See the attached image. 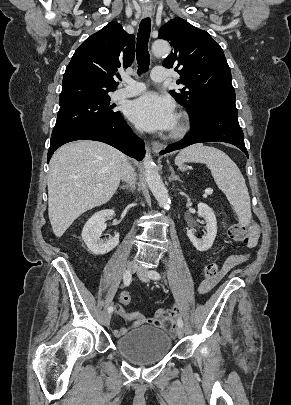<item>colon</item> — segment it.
Instances as JSON below:
<instances>
[{"mask_svg": "<svg viewBox=\"0 0 291 405\" xmlns=\"http://www.w3.org/2000/svg\"><path fill=\"white\" fill-rule=\"evenodd\" d=\"M227 232L229 237L239 243H247L250 238V227H246L241 224H229L227 226ZM219 265L216 262H210L206 264L203 268L202 274L205 280H214L219 275ZM130 295L127 292H124L120 296V301L123 305H128L130 303ZM166 327L168 329H173V323L170 321L166 322Z\"/></svg>", "mask_w": 291, "mask_h": 405, "instance_id": "colon-1", "label": "colon"}]
</instances>
